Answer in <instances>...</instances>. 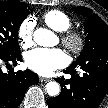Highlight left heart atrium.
Masks as SVG:
<instances>
[{
    "label": "left heart atrium",
    "mask_w": 108,
    "mask_h": 108,
    "mask_svg": "<svg viewBox=\"0 0 108 108\" xmlns=\"http://www.w3.org/2000/svg\"><path fill=\"white\" fill-rule=\"evenodd\" d=\"M25 63L35 73L47 76L65 66L67 57L60 49L36 48L25 55Z\"/></svg>",
    "instance_id": "left-heart-atrium-1"
}]
</instances>
